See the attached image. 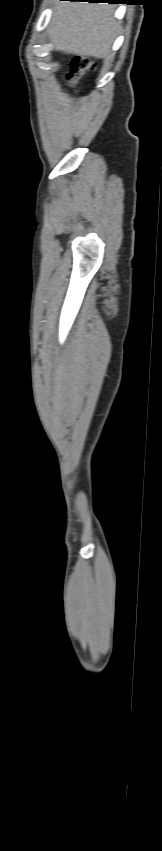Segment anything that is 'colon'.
I'll return each mask as SVG.
<instances>
[{"label":"colon","instance_id":"obj_1","mask_svg":"<svg viewBox=\"0 0 162 851\" xmlns=\"http://www.w3.org/2000/svg\"><path fill=\"white\" fill-rule=\"evenodd\" d=\"M94 69V62L83 57H75L71 62V70L68 73V78L72 82H76L85 73Z\"/></svg>","mask_w":162,"mask_h":851}]
</instances>
